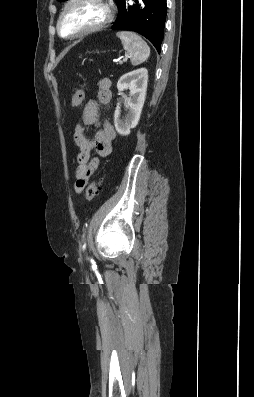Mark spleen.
<instances>
[{
    "instance_id": "1",
    "label": "spleen",
    "mask_w": 254,
    "mask_h": 397,
    "mask_svg": "<svg viewBox=\"0 0 254 397\" xmlns=\"http://www.w3.org/2000/svg\"><path fill=\"white\" fill-rule=\"evenodd\" d=\"M116 35L122 41L133 65H139L148 59L150 48L139 35L131 31H120Z\"/></svg>"
}]
</instances>
